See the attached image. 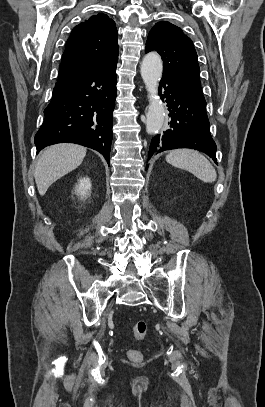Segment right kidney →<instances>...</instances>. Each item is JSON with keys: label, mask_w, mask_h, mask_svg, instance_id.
I'll return each instance as SVG.
<instances>
[{"label": "right kidney", "mask_w": 265, "mask_h": 407, "mask_svg": "<svg viewBox=\"0 0 265 407\" xmlns=\"http://www.w3.org/2000/svg\"><path fill=\"white\" fill-rule=\"evenodd\" d=\"M91 189V182L88 177L80 178L75 188V193L81 198H86Z\"/></svg>", "instance_id": "1"}]
</instances>
